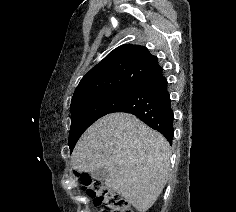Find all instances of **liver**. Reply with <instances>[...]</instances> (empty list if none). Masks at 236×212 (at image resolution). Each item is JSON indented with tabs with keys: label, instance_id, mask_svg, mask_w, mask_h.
<instances>
[{
	"label": "liver",
	"instance_id": "6515ba94",
	"mask_svg": "<svg viewBox=\"0 0 236 212\" xmlns=\"http://www.w3.org/2000/svg\"><path fill=\"white\" fill-rule=\"evenodd\" d=\"M171 150L159 132L128 113L108 114L77 142L72 166L80 172L105 168V184L139 212H146L167 183Z\"/></svg>",
	"mask_w": 236,
	"mask_h": 212
}]
</instances>
